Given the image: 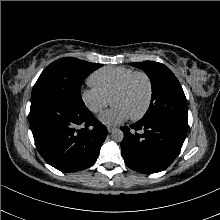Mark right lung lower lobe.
<instances>
[{"mask_svg": "<svg viewBox=\"0 0 220 220\" xmlns=\"http://www.w3.org/2000/svg\"><path fill=\"white\" fill-rule=\"evenodd\" d=\"M30 126L44 160L63 172L92 166L108 134L86 106L54 97L31 99Z\"/></svg>", "mask_w": 220, "mask_h": 220, "instance_id": "98d812e1", "label": "right lung lower lobe"}]
</instances>
